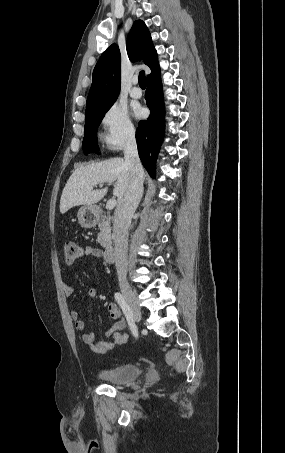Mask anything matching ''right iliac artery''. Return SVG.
<instances>
[{
    "instance_id": "obj_1",
    "label": "right iliac artery",
    "mask_w": 285,
    "mask_h": 453,
    "mask_svg": "<svg viewBox=\"0 0 285 453\" xmlns=\"http://www.w3.org/2000/svg\"><path fill=\"white\" fill-rule=\"evenodd\" d=\"M114 297H115V300L117 301V303L119 304V306L121 307V309H122V311H123V313H124V315H125V317H126V319L128 321L129 327H130L133 335L135 337H137L138 336L137 327H136V325L134 323L131 310H130L129 305L126 302L124 296L117 292V293H115Z\"/></svg>"
}]
</instances>
